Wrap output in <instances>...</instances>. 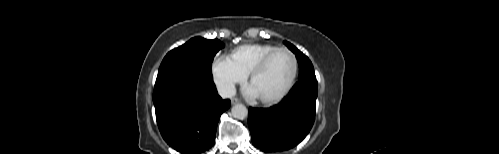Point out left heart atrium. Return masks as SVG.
Segmentation results:
<instances>
[{
    "instance_id": "1",
    "label": "left heart atrium",
    "mask_w": 499,
    "mask_h": 154,
    "mask_svg": "<svg viewBox=\"0 0 499 154\" xmlns=\"http://www.w3.org/2000/svg\"><path fill=\"white\" fill-rule=\"evenodd\" d=\"M244 93L246 96H248L250 98H257V95H256L254 89L251 87V85H249L245 88Z\"/></svg>"
}]
</instances>
